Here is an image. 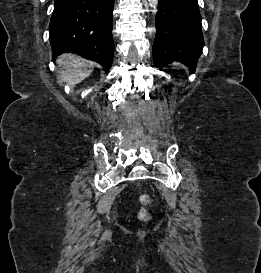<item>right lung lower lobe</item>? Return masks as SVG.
<instances>
[{
  "instance_id": "98d812e1",
  "label": "right lung lower lobe",
  "mask_w": 261,
  "mask_h": 273,
  "mask_svg": "<svg viewBox=\"0 0 261 273\" xmlns=\"http://www.w3.org/2000/svg\"><path fill=\"white\" fill-rule=\"evenodd\" d=\"M114 0H55L49 31L53 59L77 53L108 72L113 60Z\"/></svg>"
}]
</instances>
